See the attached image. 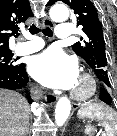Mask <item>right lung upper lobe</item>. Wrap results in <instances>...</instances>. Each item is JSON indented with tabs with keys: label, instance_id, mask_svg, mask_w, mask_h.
<instances>
[{
	"label": "right lung upper lobe",
	"instance_id": "right-lung-upper-lobe-1",
	"mask_svg": "<svg viewBox=\"0 0 117 136\" xmlns=\"http://www.w3.org/2000/svg\"><path fill=\"white\" fill-rule=\"evenodd\" d=\"M32 16L28 0H0V52L10 51L9 38Z\"/></svg>",
	"mask_w": 117,
	"mask_h": 136
}]
</instances>
